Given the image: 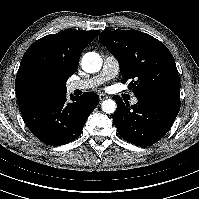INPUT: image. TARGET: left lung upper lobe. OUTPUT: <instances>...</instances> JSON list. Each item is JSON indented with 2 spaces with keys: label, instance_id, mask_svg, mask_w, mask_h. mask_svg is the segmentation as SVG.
Returning a JSON list of instances; mask_svg holds the SVG:
<instances>
[{
  "label": "left lung upper lobe",
  "instance_id": "obj_1",
  "mask_svg": "<svg viewBox=\"0 0 199 199\" xmlns=\"http://www.w3.org/2000/svg\"><path fill=\"white\" fill-rule=\"evenodd\" d=\"M99 42L117 59L134 95L180 102V79L174 58L159 40L137 30L102 31Z\"/></svg>",
  "mask_w": 199,
  "mask_h": 199
}]
</instances>
